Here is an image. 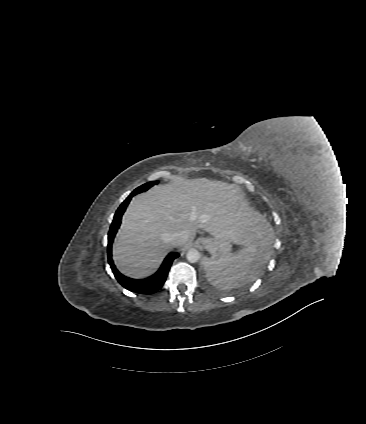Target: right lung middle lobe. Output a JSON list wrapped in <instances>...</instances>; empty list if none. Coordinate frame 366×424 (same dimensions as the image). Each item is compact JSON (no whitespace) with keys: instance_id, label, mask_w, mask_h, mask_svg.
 I'll return each mask as SVG.
<instances>
[{"instance_id":"obj_1","label":"right lung middle lobe","mask_w":366,"mask_h":424,"mask_svg":"<svg viewBox=\"0 0 366 424\" xmlns=\"http://www.w3.org/2000/svg\"><path fill=\"white\" fill-rule=\"evenodd\" d=\"M154 184H157V181L148 182V183L136 188L134 191H136V194L144 192V191L148 190L150 187H152Z\"/></svg>"}]
</instances>
